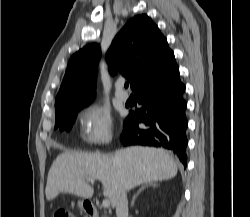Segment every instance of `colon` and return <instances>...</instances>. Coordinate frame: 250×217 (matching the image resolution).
<instances>
[{
    "label": "colon",
    "mask_w": 250,
    "mask_h": 217,
    "mask_svg": "<svg viewBox=\"0 0 250 217\" xmlns=\"http://www.w3.org/2000/svg\"><path fill=\"white\" fill-rule=\"evenodd\" d=\"M53 217H75V215L66 208H58L55 210Z\"/></svg>",
    "instance_id": "5ec220e1"
}]
</instances>
